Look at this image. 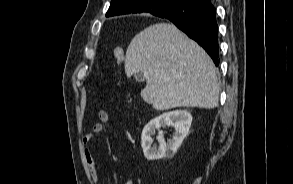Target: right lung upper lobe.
Here are the masks:
<instances>
[{
  "label": "right lung upper lobe",
  "instance_id": "cb5924a9",
  "mask_svg": "<svg viewBox=\"0 0 293 184\" xmlns=\"http://www.w3.org/2000/svg\"><path fill=\"white\" fill-rule=\"evenodd\" d=\"M157 0H111L109 10L106 13L107 17L117 16L130 13L148 12L155 16L164 14L184 1H196L199 4H209L211 0H167L169 5L162 9L156 10L153 2Z\"/></svg>",
  "mask_w": 293,
  "mask_h": 184
}]
</instances>
